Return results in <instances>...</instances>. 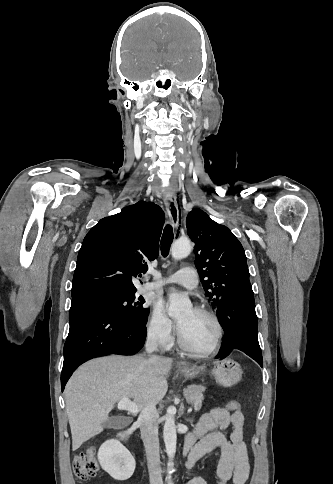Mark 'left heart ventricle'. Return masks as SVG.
Listing matches in <instances>:
<instances>
[{"label":"left heart ventricle","mask_w":333,"mask_h":484,"mask_svg":"<svg viewBox=\"0 0 333 484\" xmlns=\"http://www.w3.org/2000/svg\"><path fill=\"white\" fill-rule=\"evenodd\" d=\"M177 321L190 346L197 350H207L212 346L217 330L211 318L188 308L178 315Z\"/></svg>","instance_id":"left-heart-ventricle-1"}]
</instances>
